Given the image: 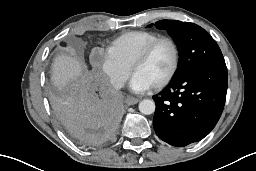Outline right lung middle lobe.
I'll return each instance as SVG.
<instances>
[{
  "instance_id": "dd1d6c3e",
  "label": "right lung middle lobe",
  "mask_w": 256,
  "mask_h": 171,
  "mask_svg": "<svg viewBox=\"0 0 256 171\" xmlns=\"http://www.w3.org/2000/svg\"><path fill=\"white\" fill-rule=\"evenodd\" d=\"M74 96V90L72 89V90H70L68 93H67V95H66V97H64V99L62 98V99H56V101H55V106L56 105H60V104H62V103H65V102H67L71 97H73Z\"/></svg>"
}]
</instances>
